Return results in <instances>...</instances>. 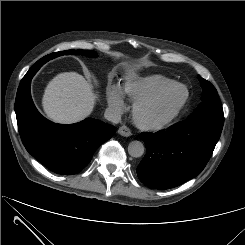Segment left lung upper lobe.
Returning <instances> with one entry per match:
<instances>
[{
    "label": "left lung upper lobe",
    "mask_w": 245,
    "mask_h": 245,
    "mask_svg": "<svg viewBox=\"0 0 245 245\" xmlns=\"http://www.w3.org/2000/svg\"><path fill=\"white\" fill-rule=\"evenodd\" d=\"M199 80L203 88L202 102L195 111L186 118V121L206 120L223 125L224 114L217 90L209 81L203 79L201 76H199Z\"/></svg>",
    "instance_id": "left-lung-upper-lobe-1"
}]
</instances>
